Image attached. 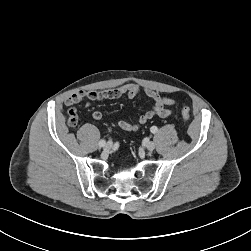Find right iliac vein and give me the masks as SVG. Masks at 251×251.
<instances>
[{
	"label": "right iliac vein",
	"instance_id": "obj_1",
	"mask_svg": "<svg viewBox=\"0 0 251 251\" xmlns=\"http://www.w3.org/2000/svg\"><path fill=\"white\" fill-rule=\"evenodd\" d=\"M112 146H113L112 142H107L104 145V150L109 151L112 148Z\"/></svg>",
	"mask_w": 251,
	"mask_h": 251
}]
</instances>
